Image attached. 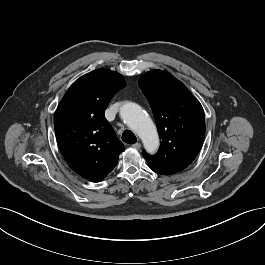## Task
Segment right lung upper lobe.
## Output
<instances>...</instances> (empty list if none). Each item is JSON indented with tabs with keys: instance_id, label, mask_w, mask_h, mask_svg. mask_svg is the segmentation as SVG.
Segmentation results:
<instances>
[{
	"instance_id": "right-lung-upper-lobe-1",
	"label": "right lung upper lobe",
	"mask_w": 265,
	"mask_h": 265,
	"mask_svg": "<svg viewBox=\"0 0 265 265\" xmlns=\"http://www.w3.org/2000/svg\"><path fill=\"white\" fill-rule=\"evenodd\" d=\"M125 86L120 74L94 70L70 86L55 112L62 155L76 173L91 182L102 181L125 149L104 116L111 98Z\"/></svg>"
}]
</instances>
